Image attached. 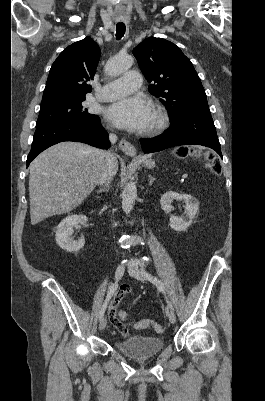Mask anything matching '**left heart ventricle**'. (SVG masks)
Wrapping results in <instances>:
<instances>
[{
  "instance_id": "b2bd125f",
  "label": "left heart ventricle",
  "mask_w": 265,
  "mask_h": 401,
  "mask_svg": "<svg viewBox=\"0 0 265 401\" xmlns=\"http://www.w3.org/2000/svg\"><path fill=\"white\" fill-rule=\"evenodd\" d=\"M154 118H155V116H154V112L152 111V113H151V116H150V119H149L148 126H150V125L153 123V121H154Z\"/></svg>"
}]
</instances>
